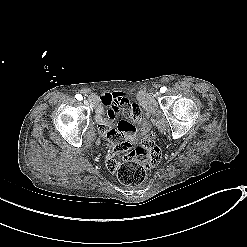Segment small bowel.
<instances>
[{"label": "small bowel", "instance_id": "1", "mask_svg": "<svg viewBox=\"0 0 247 247\" xmlns=\"http://www.w3.org/2000/svg\"><path fill=\"white\" fill-rule=\"evenodd\" d=\"M132 102L131 100L125 98L120 93H112V94H105L100 99V107L95 108L94 113L96 115V120L101 126H108V124L121 113V108H129L131 107ZM101 106L105 108L103 111ZM135 114L140 113L141 118V110L142 107L140 105H135ZM132 121H138L134 116L130 117ZM110 130H104L101 133L102 138H112L116 143H121L125 138L128 141L133 140L134 136V126L130 121L121 120L117 127ZM125 144L120 146H114L116 150H124ZM106 167L108 170L115 172L118 169L117 164L114 162L115 157L112 154L107 155L106 157Z\"/></svg>", "mask_w": 247, "mask_h": 247}]
</instances>
